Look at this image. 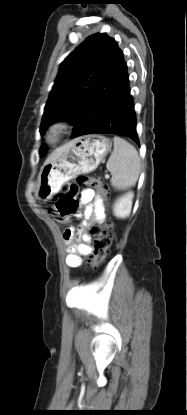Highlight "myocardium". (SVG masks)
I'll use <instances>...</instances> for the list:
<instances>
[{
  "instance_id": "f54148a6",
  "label": "myocardium",
  "mask_w": 187,
  "mask_h": 415,
  "mask_svg": "<svg viewBox=\"0 0 187 415\" xmlns=\"http://www.w3.org/2000/svg\"><path fill=\"white\" fill-rule=\"evenodd\" d=\"M68 128L69 123L65 120H58L53 122L45 132V142L50 145H55L59 143Z\"/></svg>"
}]
</instances>
